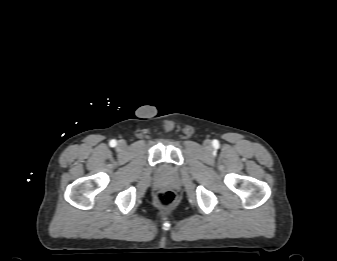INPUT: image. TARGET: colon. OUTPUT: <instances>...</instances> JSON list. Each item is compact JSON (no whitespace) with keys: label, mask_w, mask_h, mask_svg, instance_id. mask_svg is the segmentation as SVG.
<instances>
[{"label":"colon","mask_w":337,"mask_h":261,"mask_svg":"<svg viewBox=\"0 0 337 261\" xmlns=\"http://www.w3.org/2000/svg\"><path fill=\"white\" fill-rule=\"evenodd\" d=\"M157 202L161 207L169 208L176 202V194L172 190L164 189L158 192Z\"/></svg>","instance_id":"obj_1"}]
</instances>
